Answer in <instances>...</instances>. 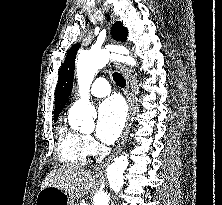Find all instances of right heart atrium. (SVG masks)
<instances>
[{
	"label": "right heart atrium",
	"mask_w": 222,
	"mask_h": 205,
	"mask_svg": "<svg viewBox=\"0 0 222 205\" xmlns=\"http://www.w3.org/2000/svg\"><path fill=\"white\" fill-rule=\"evenodd\" d=\"M85 144L89 154H93L96 151V143L90 136H85Z\"/></svg>",
	"instance_id": "1"
}]
</instances>
